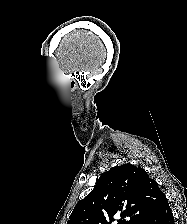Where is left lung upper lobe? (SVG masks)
Instances as JSON below:
<instances>
[{"instance_id": "left-lung-upper-lobe-1", "label": "left lung upper lobe", "mask_w": 187, "mask_h": 224, "mask_svg": "<svg viewBox=\"0 0 187 224\" xmlns=\"http://www.w3.org/2000/svg\"><path fill=\"white\" fill-rule=\"evenodd\" d=\"M157 182L132 164L102 173L94 189L74 207L67 224H147L160 196Z\"/></svg>"}]
</instances>
